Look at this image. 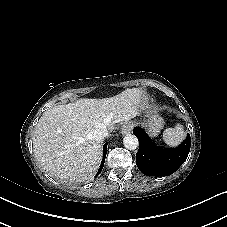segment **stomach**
Masks as SVG:
<instances>
[{
	"label": "stomach",
	"mask_w": 227,
	"mask_h": 227,
	"mask_svg": "<svg viewBox=\"0 0 227 227\" xmlns=\"http://www.w3.org/2000/svg\"><path fill=\"white\" fill-rule=\"evenodd\" d=\"M148 131L150 136H157L160 130L164 126V120L161 116L159 115H152L150 118L147 120L146 123L142 124Z\"/></svg>",
	"instance_id": "0dacf381"
}]
</instances>
